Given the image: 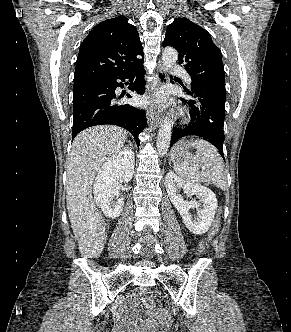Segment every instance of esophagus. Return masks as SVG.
<instances>
[{
  "instance_id": "34e87169",
  "label": "esophagus",
  "mask_w": 291,
  "mask_h": 332,
  "mask_svg": "<svg viewBox=\"0 0 291 332\" xmlns=\"http://www.w3.org/2000/svg\"><path fill=\"white\" fill-rule=\"evenodd\" d=\"M167 81V76L164 67L159 64L158 69H157V74H156V80L153 84L152 90L155 93L157 88ZM148 119L150 121V125L152 126H158L161 121V113L159 109L156 107H152V109L149 112Z\"/></svg>"
}]
</instances>
